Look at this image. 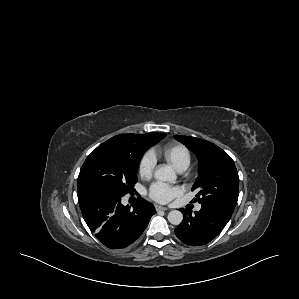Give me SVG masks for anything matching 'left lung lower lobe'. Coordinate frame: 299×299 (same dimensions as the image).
<instances>
[{"instance_id": "obj_1", "label": "left lung lower lobe", "mask_w": 299, "mask_h": 299, "mask_svg": "<svg viewBox=\"0 0 299 299\" xmlns=\"http://www.w3.org/2000/svg\"><path fill=\"white\" fill-rule=\"evenodd\" d=\"M181 224L175 229L176 236L187 245L201 246L213 240L228 223L230 217L214 207L202 205L195 215L186 209Z\"/></svg>"}]
</instances>
